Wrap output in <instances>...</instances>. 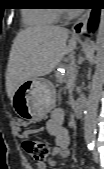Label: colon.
I'll return each instance as SVG.
<instances>
[{
	"mask_svg": "<svg viewBox=\"0 0 104 169\" xmlns=\"http://www.w3.org/2000/svg\"><path fill=\"white\" fill-rule=\"evenodd\" d=\"M22 146L24 150L38 162H43L51 150L47 140L40 136L33 135L27 130L22 133Z\"/></svg>",
	"mask_w": 104,
	"mask_h": 169,
	"instance_id": "obj_1",
	"label": "colon"
}]
</instances>
